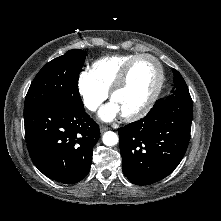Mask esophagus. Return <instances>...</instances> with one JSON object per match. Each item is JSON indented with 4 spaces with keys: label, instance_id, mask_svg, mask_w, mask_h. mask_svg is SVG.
<instances>
[{
    "label": "esophagus",
    "instance_id": "esophagus-1",
    "mask_svg": "<svg viewBox=\"0 0 221 221\" xmlns=\"http://www.w3.org/2000/svg\"><path fill=\"white\" fill-rule=\"evenodd\" d=\"M108 129H109V127H107V126H104V125H101V126H100V132H101V133L105 132V131L108 130Z\"/></svg>",
    "mask_w": 221,
    "mask_h": 221
}]
</instances>
